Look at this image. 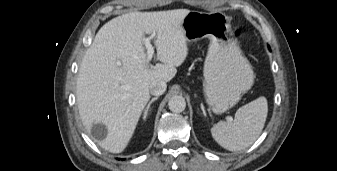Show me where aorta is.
Listing matches in <instances>:
<instances>
[{
	"label": "aorta",
	"mask_w": 337,
	"mask_h": 171,
	"mask_svg": "<svg viewBox=\"0 0 337 171\" xmlns=\"http://www.w3.org/2000/svg\"><path fill=\"white\" fill-rule=\"evenodd\" d=\"M169 109L174 113L183 112L186 108V101L182 96H172L168 102Z\"/></svg>",
	"instance_id": "aorta-1"
}]
</instances>
